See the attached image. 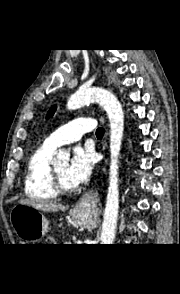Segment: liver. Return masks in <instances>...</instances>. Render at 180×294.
<instances>
[{"mask_svg":"<svg viewBox=\"0 0 180 294\" xmlns=\"http://www.w3.org/2000/svg\"><path fill=\"white\" fill-rule=\"evenodd\" d=\"M19 204H27L34 207L36 210H41L45 212H57L59 210H67L68 206L61 205L55 202L49 201H34L31 199H21Z\"/></svg>","mask_w":180,"mask_h":294,"instance_id":"liver-1","label":"liver"}]
</instances>
